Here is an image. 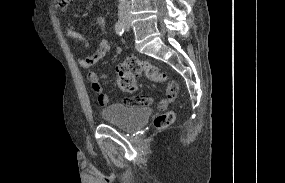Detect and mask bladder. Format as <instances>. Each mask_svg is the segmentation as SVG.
I'll return each mask as SVG.
<instances>
[{"mask_svg": "<svg viewBox=\"0 0 285 183\" xmlns=\"http://www.w3.org/2000/svg\"><path fill=\"white\" fill-rule=\"evenodd\" d=\"M102 118L108 123L133 129L141 125L151 114L148 106H129L123 103H114L103 108Z\"/></svg>", "mask_w": 285, "mask_h": 183, "instance_id": "obj_1", "label": "bladder"}]
</instances>
